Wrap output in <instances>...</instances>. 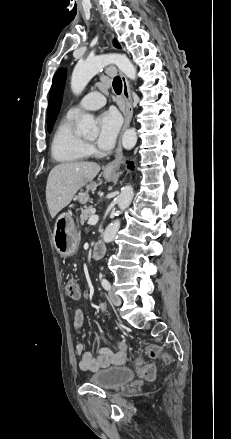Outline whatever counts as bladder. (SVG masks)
<instances>
[{
	"label": "bladder",
	"mask_w": 231,
	"mask_h": 439,
	"mask_svg": "<svg viewBox=\"0 0 231 439\" xmlns=\"http://www.w3.org/2000/svg\"><path fill=\"white\" fill-rule=\"evenodd\" d=\"M135 373L128 367H111L92 374L88 381L103 389L113 390L129 383Z\"/></svg>",
	"instance_id": "bladder-1"
}]
</instances>
